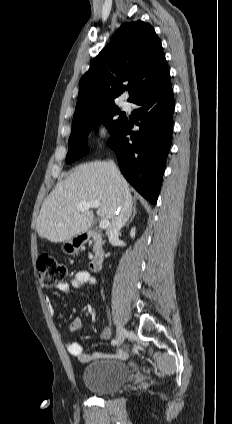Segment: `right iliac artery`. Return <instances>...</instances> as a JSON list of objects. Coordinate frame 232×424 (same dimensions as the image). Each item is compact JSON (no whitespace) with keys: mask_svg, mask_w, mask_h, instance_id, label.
<instances>
[{"mask_svg":"<svg viewBox=\"0 0 232 424\" xmlns=\"http://www.w3.org/2000/svg\"><path fill=\"white\" fill-rule=\"evenodd\" d=\"M111 344H112V345L117 344V340L113 339V340H112V342H111Z\"/></svg>","mask_w":232,"mask_h":424,"instance_id":"right-iliac-artery-1","label":"right iliac artery"}]
</instances>
